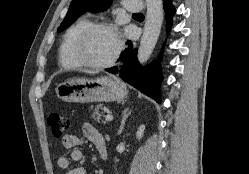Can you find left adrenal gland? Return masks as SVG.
Returning a JSON list of instances; mask_svg holds the SVG:
<instances>
[{
  "instance_id": "obj_1",
  "label": "left adrenal gland",
  "mask_w": 249,
  "mask_h": 174,
  "mask_svg": "<svg viewBox=\"0 0 249 174\" xmlns=\"http://www.w3.org/2000/svg\"><path fill=\"white\" fill-rule=\"evenodd\" d=\"M130 114H131V111H129L128 108L124 109V111L122 112V120H121V125H120L118 133H117L118 135L122 133L126 119L129 117Z\"/></svg>"
}]
</instances>
